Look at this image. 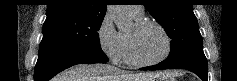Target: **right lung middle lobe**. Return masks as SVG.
I'll use <instances>...</instances> for the list:
<instances>
[{"label":"right lung middle lobe","mask_w":237,"mask_h":81,"mask_svg":"<svg viewBox=\"0 0 237 81\" xmlns=\"http://www.w3.org/2000/svg\"><path fill=\"white\" fill-rule=\"evenodd\" d=\"M103 17L57 16L46 19L40 46L101 50L99 35Z\"/></svg>","instance_id":"obj_1"}]
</instances>
